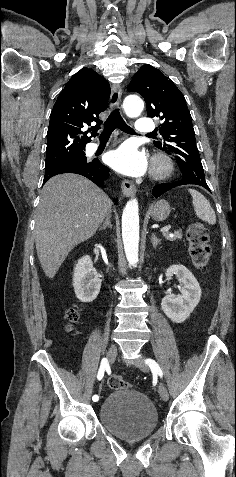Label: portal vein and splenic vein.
Returning a JSON list of instances; mask_svg holds the SVG:
<instances>
[{"label": "portal vein and splenic vein", "instance_id": "18ae733b", "mask_svg": "<svg viewBox=\"0 0 236 477\" xmlns=\"http://www.w3.org/2000/svg\"><path fill=\"white\" fill-rule=\"evenodd\" d=\"M170 229H171V226L168 225V226L163 227L160 231H161L162 233H167V232L170 231Z\"/></svg>", "mask_w": 236, "mask_h": 477}]
</instances>
